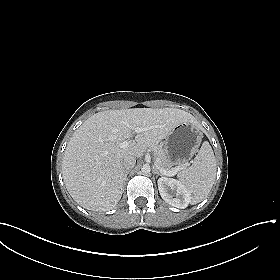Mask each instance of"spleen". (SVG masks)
<instances>
[{
  "label": "spleen",
  "mask_w": 280,
  "mask_h": 280,
  "mask_svg": "<svg viewBox=\"0 0 280 280\" xmlns=\"http://www.w3.org/2000/svg\"><path fill=\"white\" fill-rule=\"evenodd\" d=\"M216 171L214 152L209 142L205 141L193 164L179 174V181L193 195L192 204L199 203L207 197L214 184Z\"/></svg>",
  "instance_id": "obj_1"
}]
</instances>
